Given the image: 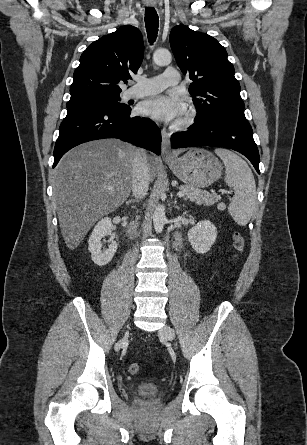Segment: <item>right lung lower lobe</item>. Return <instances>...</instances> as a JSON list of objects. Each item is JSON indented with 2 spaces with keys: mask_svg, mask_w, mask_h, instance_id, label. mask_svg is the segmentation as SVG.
<instances>
[{
  "mask_svg": "<svg viewBox=\"0 0 307 445\" xmlns=\"http://www.w3.org/2000/svg\"><path fill=\"white\" fill-rule=\"evenodd\" d=\"M131 109L111 105H90L68 109L60 125L54 148V164L71 148L95 139L119 138L161 152V133L148 118H130Z\"/></svg>",
  "mask_w": 307,
  "mask_h": 445,
  "instance_id": "obj_1",
  "label": "right lung lower lobe"
}]
</instances>
